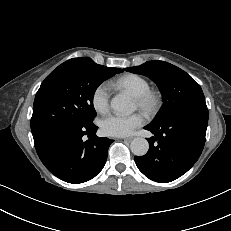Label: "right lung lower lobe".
<instances>
[{
  "mask_svg": "<svg viewBox=\"0 0 231 231\" xmlns=\"http://www.w3.org/2000/svg\"><path fill=\"white\" fill-rule=\"evenodd\" d=\"M91 124L68 126L51 139L35 142L37 154L46 168L59 179L73 184L94 178L104 167L113 140L96 136ZM88 140L84 141V136Z\"/></svg>",
  "mask_w": 231,
  "mask_h": 231,
  "instance_id": "98d812e1",
  "label": "right lung lower lobe"
}]
</instances>
